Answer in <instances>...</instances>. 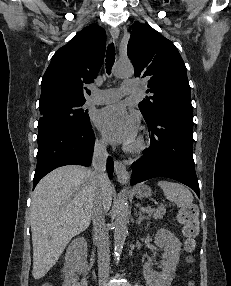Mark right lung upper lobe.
I'll list each match as a JSON object with an SVG mask.
<instances>
[{"label": "right lung upper lobe", "instance_id": "cb5924a9", "mask_svg": "<svg viewBox=\"0 0 231 286\" xmlns=\"http://www.w3.org/2000/svg\"><path fill=\"white\" fill-rule=\"evenodd\" d=\"M105 31L84 28L55 52L42 79L39 107L58 101H86L84 84L92 83L103 63Z\"/></svg>", "mask_w": 231, "mask_h": 286}]
</instances>
